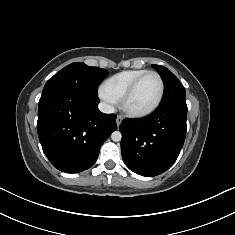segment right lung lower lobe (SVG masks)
<instances>
[{
	"label": "right lung lower lobe",
	"mask_w": 235,
	"mask_h": 235,
	"mask_svg": "<svg viewBox=\"0 0 235 235\" xmlns=\"http://www.w3.org/2000/svg\"><path fill=\"white\" fill-rule=\"evenodd\" d=\"M97 96L65 89L42 94L37 131L42 149L58 170L78 173L97 160L104 141L116 130V115L99 111Z\"/></svg>",
	"instance_id": "1"
}]
</instances>
